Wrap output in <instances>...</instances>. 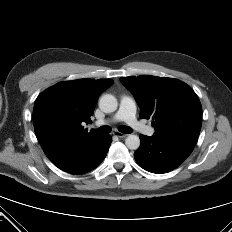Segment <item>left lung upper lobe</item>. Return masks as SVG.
Masks as SVG:
<instances>
[{
	"instance_id": "1",
	"label": "left lung upper lobe",
	"mask_w": 232,
	"mask_h": 232,
	"mask_svg": "<svg viewBox=\"0 0 232 232\" xmlns=\"http://www.w3.org/2000/svg\"><path fill=\"white\" fill-rule=\"evenodd\" d=\"M141 108L140 117H152L155 135L199 136L202 107L186 83L173 78L142 75L121 77Z\"/></svg>"
}]
</instances>
